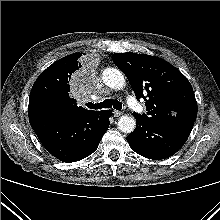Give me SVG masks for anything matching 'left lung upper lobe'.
<instances>
[{
	"label": "left lung upper lobe",
	"mask_w": 220,
	"mask_h": 220,
	"mask_svg": "<svg viewBox=\"0 0 220 220\" xmlns=\"http://www.w3.org/2000/svg\"><path fill=\"white\" fill-rule=\"evenodd\" d=\"M113 62L129 80L147 114H134L152 122L183 119L194 122L197 103L191 84L173 65L156 56L115 53Z\"/></svg>",
	"instance_id": "1"
}]
</instances>
